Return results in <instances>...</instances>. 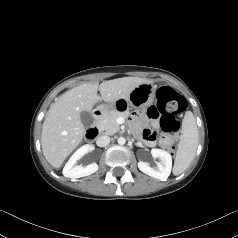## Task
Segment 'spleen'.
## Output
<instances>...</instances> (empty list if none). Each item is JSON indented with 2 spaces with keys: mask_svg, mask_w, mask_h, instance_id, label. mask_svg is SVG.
Segmentation results:
<instances>
[{
  "mask_svg": "<svg viewBox=\"0 0 238 238\" xmlns=\"http://www.w3.org/2000/svg\"><path fill=\"white\" fill-rule=\"evenodd\" d=\"M181 133L173 167L174 175H180L188 168L194 159L198 146V129L191 111L185 113Z\"/></svg>",
  "mask_w": 238,
  "mask_h": 238,
  "instance_id": "spleen-1",
  "label": "spleen"
}]
</instances>
